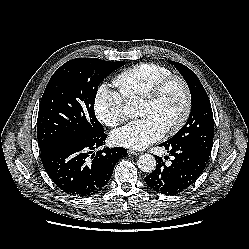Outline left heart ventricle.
Segmentation results:
<instances>
[{
	"label": "left heart ventricle",
	"instance_id": "left-heart-ventricle-1",
	"mask_svg": "<svg viewBox=\"0 0 249 249\" xmlns=\"http://www.w3.org/2000/svg\"><path fill=\"white\" fill-rule=\"evenodd\" d=\"M184 105L183 91L176 82L171 83L164 90L156 102L142 100L140 104V116H153L166 130L180 117Z\"/></svg>",
	"mask_w": 249,
	"mask_h": 249
}]
</instances>
